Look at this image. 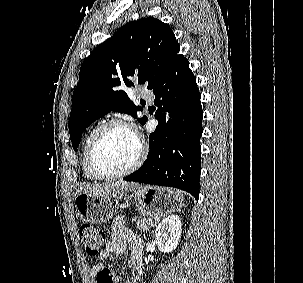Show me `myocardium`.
Segmentation results:
<instances>
[{"label":"myocardium","instance_id":"obj_1","mask_svg":"<svg viewBox=\"0 0 303 283\" xmlns=\"http://www.w3.org/2000/svg\"><path fill=\"white\" fill-rule=\"evenodd\" d=\"M113 126L124 127L126 129L132 131L138 140L139 151H138L136 159L129 167H127L126 169L119 171V172L107 173L99 167V165L97 163V159H96V153H97V148H98L99 142H100L101 138L103 137L104 133L110 127H113ZM146 153H147V150H146L145 143L142 140V138L138 135L136 130L128 122H126L122 119L114 118V119H110V120L104 122L96 130V132L93 135L92 140L90 142L89 148H88L87 158H88L89 167L92 170V172L94 173V175H96L99 179L112 180V179L125 177V176L135 172L143 164L145 157H146Z\"/></svg>","mask_w":303,"mask_h":283}]
</instances>
